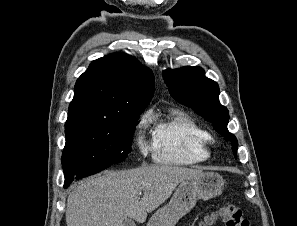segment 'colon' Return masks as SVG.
I'll return each mask as SVG.
<instances>
[{
	"mask_svg": "<svg viewBox=\"0 0 297 226\" xmlns=\"http://www.w3.org/2000/svg\"><path fill=\"white\" fill-rule=\"evenodd\" d=\"M220 217L226 226H250V222L245 217L243 211L233 204L224 205L221 208ZM213 219V217L206 219L201 226H210Z\"/></svg>",
	"mask_w": 297,
	"mask_h": 226,
	"instance_id": "colon-1",
	"label": "colon"
}]
</instances>
